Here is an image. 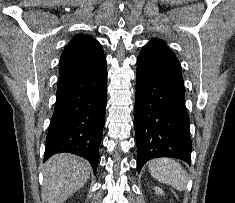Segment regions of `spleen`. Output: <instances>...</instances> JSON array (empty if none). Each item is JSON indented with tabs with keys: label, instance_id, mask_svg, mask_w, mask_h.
<instances>
[{
	"label": "spleen",
	"instance_id": "spleen-1",
	"mask_svg": "<svg viewBox=\"0 0 235 203\" xmlns=\"http://www.w3.org/2000/svg\"><path fill=\"white\" fill-rule=\"evenodd\" d=\"M149 171L158 181L176 188L185 190L187 175L182 166L171 158H158L149 162Z\"/></svg>",
	"mask_w": 235,
	"mask_h": 203
}]
</instances>
